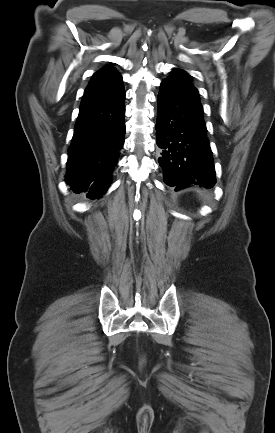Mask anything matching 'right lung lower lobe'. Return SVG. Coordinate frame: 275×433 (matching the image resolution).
<instances>
[{"instance_id":"98d812e1","label":"right lung lower lobe","mask_w":275,"mask_h":433,"mask_svg":"<svg viewBox=\"0 0 275 433\" xmlns=\"http://www.w3.org/2000/svg\"><path fill=\"white\" fill-rule=\"evenodd\" d=\"M123 83L85 91L68 152L66 182L91 199L107 191L125 135Z\"/></svg>"}]
</instances>
